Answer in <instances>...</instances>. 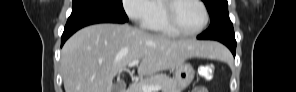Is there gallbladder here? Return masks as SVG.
Segmentation results:
<instances>
[{"label":"gallbladder","instance_id":"1","mask_svg":"<svg viewBox=\"0 0 296 92\" xmlns=\"http://www.w3.org/2000/svg\"><path fill=\"white\" fill-rule=\"evenodd\" d=\"M125 89L124 83H116L113 85V92H123Z\"/></svg>","mask_w":296,"mask_h":92}]
</instances>
